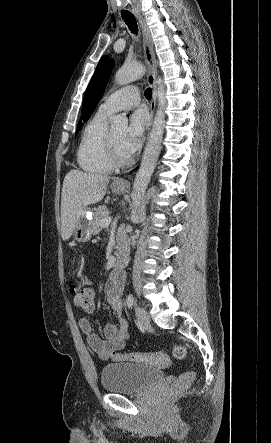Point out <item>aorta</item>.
<instances>
[{
	"label": "aorta",
	"instance_id": "obj_1",
	"mask_svg": "<svg viewBox=\"0 0 271 443\" xmlns=\"http://www.w3.org/2000/svg\"><path fill=\"white\" fill-rule=\"evenodd\" d=\"M146 72L145 66L142 64H131V66H122L115 74V82L120 86H126L133 80L142 78ZM157 100L158 108L154 118L150 138L146 144L145 152L143 154L141 166L136 174L133 190L131 194L132 208L131 218L132 222L138 220V212L143 202V196L148 188L151 176L155 170L157 160L162 148V140L164 134L165 122V108H166V90L162 78H157ZM111 126L114 130H122L127 128L128 120L125 114L119 116H111Z\"/></svg>",
	"mask_w": 271,
	"mask_h": 443
}]
</instances>
